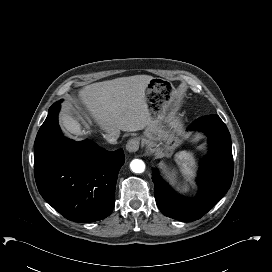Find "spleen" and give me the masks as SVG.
<instances>
[{"label":"spleen","instance_id":"3e777b00","mask_svg":"<svg viewBox=\"0 0 272 272\" xmlns=\"http://www.w3.org/2000/svg\"><path fill=\"white\" fill-rule=\"evenodd\" d=\"M175 161L180 166L182 174L187 180L194 175V167L196 165L194 153L190 151H180L175 155Z\"/></svg>","mask_w":272,"mask_h":272}]
</instances>
